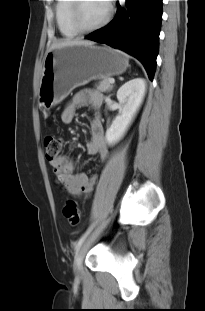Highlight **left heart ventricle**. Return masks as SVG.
Returning a JSON list of instances; mask_svg holds the SVG:
<instances>
[{"label": "left heart ventricle", "instance_id": "left-heart-ventricle-1", "mask_svg": "<svg viewBox=\"0 0 205 311\" xmlns=\"http://www.w3.org/2000/svg\"><path fill=\"white\" fill-rule=\"evenodd\" d=\"M107 10L105 0H84L80 10L83 24L87 27L97 25L104 19Z\"/></svg>", "mask_w": 205, "mask_h": 311}]
</instances>
